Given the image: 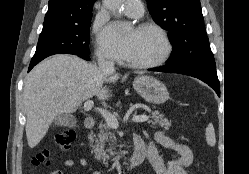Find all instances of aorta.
I'll use <instances>...</instances> for the list:
<instances>
[{
	"label": "aorta",
	"mask_w": 249,
	"mask_h": 174,
	"mask_svg": "<svg viewBox=\"0 0 249 174\" xmlns=\"http://www.w3.org/2000/svg\"><path fill=\"white\" fill-rule=\"evenodd\" d=\"M125 0H104V4L107 9L110 11L116 12L120 6L124 3ZM122 29L129 30L131 29V24L125 23L122 25Z\"/></svg>",
	"instance_id": "1"
}]
</instances>
